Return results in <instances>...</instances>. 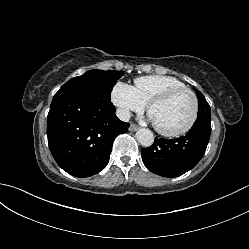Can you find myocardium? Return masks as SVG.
<instances>
[{
    "mask_svg": "<svg viewBox=\"0 0 249 249\" xmlns=\"http://www.w3.org/2000/svg\"><path fill=\"white\" fill-rule=\"evenodd\" d=\"M181 93H187L192 98L193 111H192L191 118H190L189 122L183 128H181L179 130H176V131H166V130H163L160 127L155 125L156 130L163 136H166V137H179V136H182V135L186 134L187 132H189L192 129V127L194 126V124L197 121L198 114H199V100H198V97L195 94V92L192 91L190 88L181 87V88H174V89L168 90V91L158 95L157 97L153 98L148 104V113L151 114L152 109L156 105L167 102V101L171 100L173 97H175V96H177V95H179Z\"/></svg>",
    "mask_w": 249,
    "mask_h": 249,
    "instance_id": "f54148a6",
    "label": "myocardium"
}]
</instances>
